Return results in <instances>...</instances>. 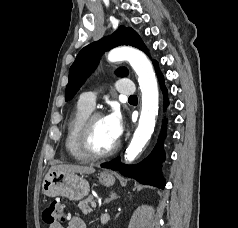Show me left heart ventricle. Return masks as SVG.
Here are the masks:
<instances>
[{"instance_id":"left-heart-ventricle-1","label":"left heart ventricle","mask_w":238,"mask_h":228,"mask_svg":"<svg viewBox=\"0 0 238 228\" xmlns=\"http://www.w3.org/2000/svg\"><path fill=\"white\" fill-rule=\"evenodd\" d=\"M107 126L105 118L96 120L92 132V146L97 152H105L116 144Z\"/></svg>"}]
</instances>
